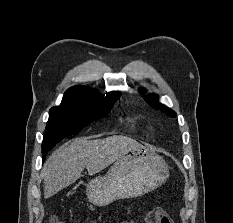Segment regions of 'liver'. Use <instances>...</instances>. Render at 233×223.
Wrapping results in <instances>:
<instances>
[{"label":"liver","mask_w":233,"mask_h":223,"mask_svg":"<svg viewBox=\"0 0 233 223\" xmlns=\"http://www.w3.org/2000/svg\"><path fill=\"white\" fill-rule=\"evenodd\" d=\"M138 145V141L125 135H110L105 139L76 137L73 141H66L44 163V197H51L66 185L77 181L85 167L89 175L99 173L120 155Z\"/></svg>","instance_id":"obj_1"}]
</instances>
